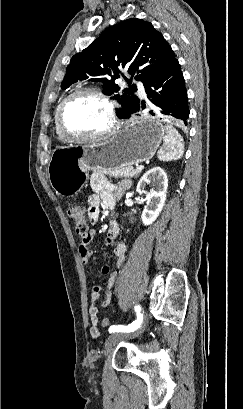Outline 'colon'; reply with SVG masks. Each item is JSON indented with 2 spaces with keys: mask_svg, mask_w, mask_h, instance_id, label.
Instances as JSON below:
<instances>
[{
  "mask_svg": "<svg viewBox=\"0 0 243 409\" xmlns=\"http://www.w3.org/2000/svg\"><path fill=\"white\" fill-rule=\"evenodd\" d=\"M67 212L72 220L76 234L81 238L85 237L88 233V219L83 207L79 204L71 203L68 206ZM111 324L112 323L108 318H104L101 322V325L105 328L111 327Z\"/></svg>",
  "mask_w": 243,
  "mask_h": 409,
  "instance_id": "1",
  "label": "colon"
}]
</instances>
